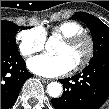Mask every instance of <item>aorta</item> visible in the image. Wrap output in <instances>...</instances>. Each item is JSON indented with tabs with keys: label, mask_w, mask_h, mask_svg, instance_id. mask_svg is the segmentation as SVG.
Masks as SVG:
<instances>
[{
	"label": "aorta",
	"mask_w": 109,
	"mask_h": 109,
	"mask_svg": "<svg viewBox=\"0 0 109 109\" xmlns=\"http://www.w3.org/2000/svg\"><path fill=\"white\" fill-rule=\"evenodd\" d=\"M54 43H55V40L50 38V40L46 44V48L47 49L51 48L54 45ZM62 91H63V88L59 82H51L47 86V92L53 98L59 97Z\"/></svg>",
	"instance_id": "1"
}]
</instances>
